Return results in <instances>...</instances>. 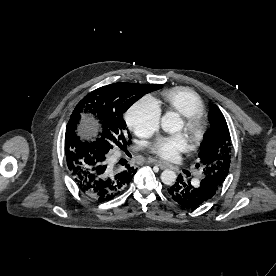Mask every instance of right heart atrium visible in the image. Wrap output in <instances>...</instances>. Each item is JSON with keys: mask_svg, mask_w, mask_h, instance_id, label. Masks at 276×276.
Returning <instances> with one entry per match:
<instances>
[{"mask_svg": "<svg viewBox=\"0 0 276 276\" xmlns=\"http://www.w3.org/2000/svg\"><path fill=\"white\" fill-rule=\"evenodd\" d=\"M125 119L138 136L149 137L159 128L161 109L154 100L142 98L128 109Z\"/></svg>", "mask_w": 276, "mask_h": 276, "instance_id": "d8ad5b80", "label": "right heart atrium"}]
</instances>
